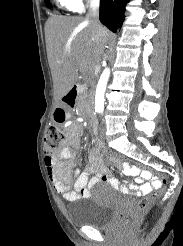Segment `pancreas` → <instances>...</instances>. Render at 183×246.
<instances>
[{
  "instance_id": "obj_1",
  "label": "pancreas",
  "mask_w": 183,
  "mask_h": 246,
  "mask_svg": "<svg viewBox=\"0 0 183 246\" xmlns=\"http://www.w3.org/2000/svg\"><path fill=\"white\" fill-rule=\"evenodd\" d=\"M87 93H83L80 97V107H84L86 104Z\"/></svg>"
}]
</instances>
